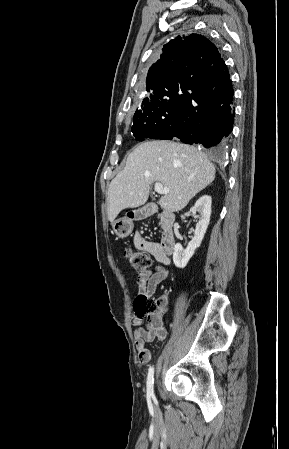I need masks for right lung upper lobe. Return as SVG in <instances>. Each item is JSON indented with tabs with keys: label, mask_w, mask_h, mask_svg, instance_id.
<instances>
[{
	"label": "right lung upper lobe",
	"mask_w": 289,
	"mask_h": 449,
	"mask_svg": "<svg viewBox=\"0 0 289 449\" xmlns=\"http://www.w3.org/2000/svg\"><path fill=\"white\" fill-rule=\"evenodd\" d=\"M160 59L149 69V94L177 89L180 83L206 81L226 66L217 47L199 34L177 36L163 46Z\"/></svg>",
	"instance_id": "right-lung-upper-lobe-1"
}]
</instances>
